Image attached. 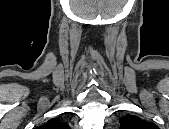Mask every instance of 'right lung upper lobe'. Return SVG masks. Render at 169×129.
<instances>
[{
    "label": "right lung upper lobe",
    "instance_id": "cb5924a9",
    "mask_svg": "<svg viewBox=\"0 0 169 129\" xmlns=\"http://www.w3.org/2000/svg\"><path fill=\"white\" fill-rule=\"evenodd\" d=\"M42 129H65L67 125L57 119H51L41 126Z\"/></svg>",
    "mask_w": 169,
    "mask_h": 129
}]
</instances>
